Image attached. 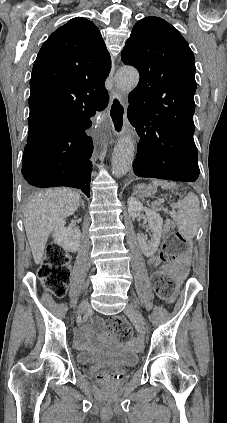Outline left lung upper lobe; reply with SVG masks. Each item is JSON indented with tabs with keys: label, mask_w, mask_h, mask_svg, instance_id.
Here are the masks:
<instances>
[{
	"label": "left lung upper lobe",
	"mask_w": 227,
	"mask_h": 423,
	"mask_svg": "<svg viewBox=\"0 0 227 423\" xmlns=\"http://www.w3.org/2000/svg\"><path fill=\"white\" fill-rule=\"evenodd\" d=\"M140 74L130 105L147 111L194 113L195 60L180 32L159 17L137 22L121 53Z\"/></svg>",
	"instance_id": "left-lung-upper-lobe-1"
}]
</instances>
